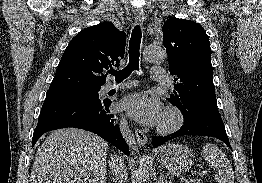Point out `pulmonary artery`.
Here are the masks:
<instances>
[{
	"instance_id": "e3ab8cb5",
	"label": "pulmonary artery",
	"mask_w": 262,
	"mask_h": 183,
	"mask_svg": "<svg viewBox=\"0 0 262 183\" xmlns=\"http://www.w3.org/2000/svg\"><path fill=\"white\" fill-rule=\"evenodd\" d=\"M150 75H151V78L156 82H163L166 79L165 74L162 72L161 69H158V68L151 69ZM134 85H135L134 83H126V84L119 85L118 87L130 88ZM112 88H114V85L108 86V89H112Z\"/></svg>"
}]
</instances>
